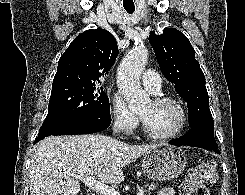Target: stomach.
<instances>
[{
    "label": "stomach",
    "instance_id": "stomach-1",
    "mask_svg": "<svg viewBox=\"0 0 245 195\" xmlns=\"http://www.w3.org/2000/svg\"><path fill=\"white\" fill-rule=\"evenodd\" d=\"M187 164L185 153L177 147L158 145L143 154L141 166L144 174L155 181L177 178Z\"/></svg>",
    "mask_w": 245,
    "mask_h": 195
}]
</instances>
